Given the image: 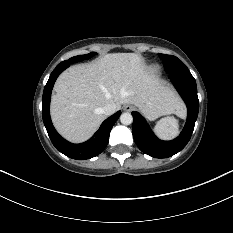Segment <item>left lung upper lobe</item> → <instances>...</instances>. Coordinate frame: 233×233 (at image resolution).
Listing matches in <instances>:
<instances>
[{"mask_svg":"<svg viewBox=\"0 0 233 233\" xmlns=\"http://www.w3.org/2000/svg\"><path fill=\"white\" fill-rule=\"evenodd\" d=\"M164 62L165 71L172 73H190L185 64L173 55L159 54Z\"/></svg>","mask_w":233,"mask_h":233,"instance_id":"obj_1","label":"left lung upper lobe"}]
</instances>
